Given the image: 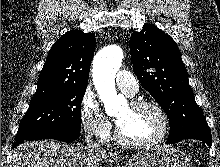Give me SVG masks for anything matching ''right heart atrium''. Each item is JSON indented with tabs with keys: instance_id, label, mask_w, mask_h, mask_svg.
<instances>
[{
	"instance_id": "obj_1",
	"label": "right heart atrium",
	"mask_w": 220,
	"mask_h": 167,
	"mask_svg": "<svg viewBox=\"0 0 220 167\" xmlns=\"http://www.w3.org/2000/svg\"><path fill=\"white\" fill-rule=\"evenodd\" d=\"M80 121L84 132L99 141L106 140L111 132V123L103 114L95 98L85 93L80 103Z\"/></svg>"
}]
</instances>
